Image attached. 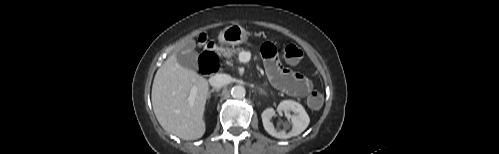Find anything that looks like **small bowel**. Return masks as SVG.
<instances>
[{
  "mask_svg": "<svg viewBox=\"0 0 499 154\" xmlns=\"http://www.w3.org/2000/svg\"><path fill=\"white\" fill-rule=\"evenodd\" d=\"M262 55L268 78L277 89L296 97H305L310 92L311 80L300 73L283 68L272 44L263 45Z\"/></svg>",
  "mask_w": 499,
  "mask_h": 154,
  "instance_id": "c3829d8e",
  "label": "small bowel"
}]
</instances>
